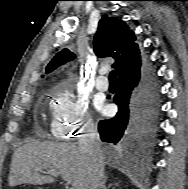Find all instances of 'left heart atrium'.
Returning a JSON list of instances; mask_svg holds the SVG:
<instances>
[{"label":"left heart atrium","mask_w":188,"mask_h":189,"mask_svg":"<svg viewBox=\"0 0 188 189\" xmlns=\"http://www.w3.org/2000/svg\"><path fill=\"white\" fill-rule=\"evenodd\" d=\"M99 108L102 110L103 113H107L108 109L102 105H99Z\"/></svg>","instance_id":"1"}]
</instances>
